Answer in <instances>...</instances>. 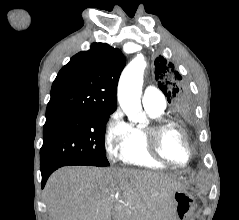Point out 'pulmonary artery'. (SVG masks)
Returning <instances> with one entry per match:
<instances>
[{
	"label": "pulmonary artery",
	"mask_w": 239,
	"mask_h": 220,
	"mask_svg": "<svg viewBox=\"0 0 239 220\" xmlns=\"http://www.w3.org/2000/svg\"><path fill=\"white\" fill-rule=\"evenodd\" d=\"M142 102L145 107L164 110L166 100L163 93L154 86H148L143 92Z\"/></svg>",
	"instance_id": "pulmonary-artery-1"
}]
</instances>
